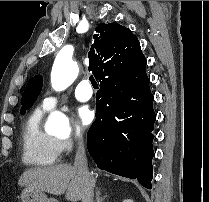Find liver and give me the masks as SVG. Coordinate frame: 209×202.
<instances>
[{
  "label": "liver",
  "instance_id": "obj_1",
  "mask_svg": "<svg viewBox=\"0 0 209 202\" xmlns=\"http://www.w3.org/2000/svg\"><path fill=\"white\" fill-rule=\"evenodd\" d=\"M91 176L98 174L91 173ZM93 181L95 183L94 178ZM18 184L57 196L66 192L68 201H79L82 197L83 179L70 164L28 169L20 176Z\"/></svg>",
  "mask_w": 209,
  "mask_h": 202
}]
</instances>
